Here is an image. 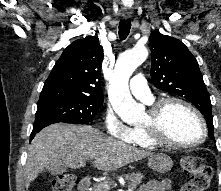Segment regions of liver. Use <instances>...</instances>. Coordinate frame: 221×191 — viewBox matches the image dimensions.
<instances>
[{"label": "liver", "instance_id": "liver-1", "mask_svg": "<svg viewBox=\"0 0 221 191\" xmlns=\"http://www.w3.org/2000/svg\"><path fill=\"white\" fill-rule=\"evenodd\" d=\"M150 155L149 151L107 137L91 126L53 124L32 140L25 164V186L28 188L50 163L60 161L67 167L80 168L91 158L98 170L113 171Z\"/></svg>", "mask_w": 221, "mask_h": 191}]
</instances>
